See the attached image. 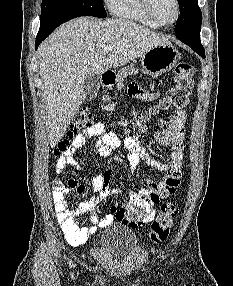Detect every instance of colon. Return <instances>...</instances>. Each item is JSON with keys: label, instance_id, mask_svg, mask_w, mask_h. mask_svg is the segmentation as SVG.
I'll use <instances>...</instances> for the list:
<instances>
[{"label": "colon", "instance_id": "colon-1", "mask_svg": "<svg viewBox=\"0 0 233 286\" xmlns=\"http://www.w3.org/2000/svg\"><path fill=\"white\" fill-rule=\"evenodd\" d=\"M174 84L167 91L165 97L160 101L157 107L150 109L145 114L134 113L128 121L124 120L122 123L125 125L130 123L134 129L139 130L143 126V122L150 116L159 113L160 111H170L174 109L184 108L189 99L193 87V75L195 68L187 62H179L175 66ZM94 114L87 108L82 107L74 117L70 128L67 132V137L64 139L55 150V155L64 153L67 150L69 141L82 129H86L93 125ZM68 186L73 189L82 190L84 187L79 185L74 179H70ZM179 210L176 204L172 202H165L160 206V212L153 220L149 237L153 242L160 243L165 241L173 227L174 219ZM128 218L133 224L138 225L144 218V212L140 205L135 204L128 212Z\"/></svg>", "mask_w": 233, "mask_h": 286}]
</instances>
